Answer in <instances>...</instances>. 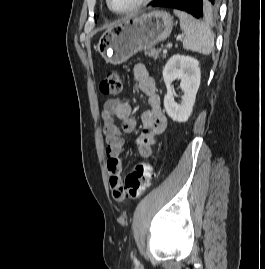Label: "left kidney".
<instances>
[{
	"instance_id": "left-kidney-1",
	"label": "left kidney",
	"mask_w": 265,
	"mask_h": 269,
	"mask_svg": "<svg viewBox=\"0 0 265 269\" xmlns=\"http://www.w3.org/2000/svg\"><path fill=\"white\" fill-rule=\"evenodd\" d=\"M199 62L190 56L173 55L163 69V78L167 87L164 107L168 116L176 122H186L190 117L200 85ZM180 79V88L184 92L182 102H175L172 82Z\"/></svg>"
}]
</instances>
